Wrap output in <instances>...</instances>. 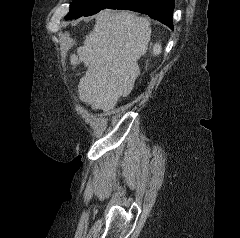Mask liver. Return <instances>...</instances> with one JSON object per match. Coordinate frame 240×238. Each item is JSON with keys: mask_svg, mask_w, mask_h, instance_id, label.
Returning a JSON list of instances; mask_svg holds the SVG:
<instances>
[{"mask_svg": "<svg viewBox=\"0 0 240 238\" xmlns=\"http://www.w3.org/2000/svg\"><path fill=\"white\" fill-rule=\"evenodd\" d=\"M150 22L128 11L109 9L96 16L93 31L86 36L72 65L84 63L87 71L80 79L78 95L92 109L109 111L121 96L126 97L140 74L137 61L148 48Z\"/></svg>", "mask_w": 240, "mask_h": 238, "instance_id": "liver-1", "label": "liver"}]
</instances>
